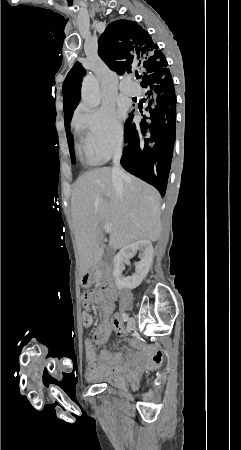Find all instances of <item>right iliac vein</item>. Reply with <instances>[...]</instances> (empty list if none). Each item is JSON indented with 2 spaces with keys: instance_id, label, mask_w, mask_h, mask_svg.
<instances>
[{
  "instance_id": "1",
  "label": "right iliac vein",
  "mask_w": 241,
  "mask_h": 450,
  "mask_svg": "<svg viewBox=\"0 0 241 450\" xmlns=\"http://www.w3.org/2000/svg\"><path fill=\"white\" fill-rule=\"evenodd\" d=\"M135 326V321L133 318H130L127 324V331L130 332L131 330H133Z\"/></svg>"
}]
</instances>
